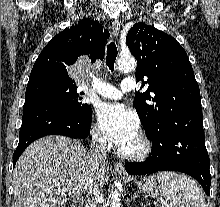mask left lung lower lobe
<instances>
[{"label":"left lung lower lobe","mask_w":220,"mask_h":207,"mask_svg":"<svg viewBox=\"0 0 220 207\" xmlns=\"http://www.w3.org/2000/svg\"><path fill=\"white\" fill-rule=\"evenodd\" d=\"M147 137L152 140V153L144 162L126 163L129 174L183 172L195 178L209 195L211 175L201 107H187L165 118Z\"/></svg>","instance_id":"0a47b994"}]
</instances>
